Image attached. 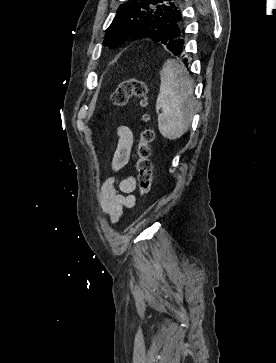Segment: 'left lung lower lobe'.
Masks as SVG:
<instances>
[{
    "instance_id": "0a47b994",
    "label": "left lung lower lobe",
    "mask_w": 276,
    "mask_h": 363,
    "mask_svg": "<svg viewBox=\"0 0 276 363\" xmlns=\"http://www.w3.org/2000/svg\"><path fill=\"white\" fill-rule=\"evenodd\" d=\"M167 48L174 54L180 58L184 57V50H185V40L183 38L174 39L167 43ZM185 64L187 65V59H184Z\"/></svg>"
}]
</instances>
